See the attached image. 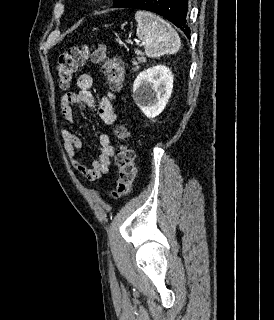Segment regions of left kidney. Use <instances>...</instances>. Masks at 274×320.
<instances>
[{
    "mask_svg": "<svg viewBox=\"0 0 274 320\" xmlns=\"http://www.w3.org/2000/svg\"><path fill=\"white\" fill-rule=\"evenodd\" d=\"M173 90V76L166 66L140 72L133 84V98L147 118L163 112Z\"/></svg>",
    "mask_w": 274,
    "mask_h": 320,
    "instance_id": "5707ae66",
    "label": "left kidney"
}]
</instances>
